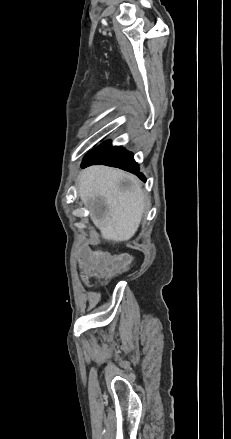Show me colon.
<instances>
[{"instance_id": "colon-1", "label": "colon", "mask_w": 231, "mask_h": 439, "mask_svg": "<svg viewBox=\"0 0 231 439\" xmlns=\"http://www.w3.org/2000/svg\"><path fill=\"white\" fill-rule=\"evenodd\" d=\"M95 251V248H92ZM89 246L82 248L81 254L85 256L80 260V267L95 277L104 278L124 271L127 261L124 258H113L102 253L92 252Z\"/></svg>"}]
</instances>
